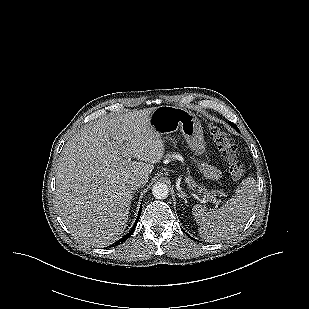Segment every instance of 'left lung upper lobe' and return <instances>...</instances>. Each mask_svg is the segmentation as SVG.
Wrapping results in <instances>:
<instances>
[{
  "mask_svg": "<svg viewBox=\"0 0 309 309\" xmlns=\"http://www.w3.org/2000/svg\"><path fill=\"white\" fill-rule=\"evenodd\" d=\"M230 125L238 130V127L234 123L230 122Z\"/></svg>",
  "mask_w": 309,
  "mask_h": 309,
  "instance_id": "5c2ea615",
  "label": "left lung upper lobe"
}]
</instances>
